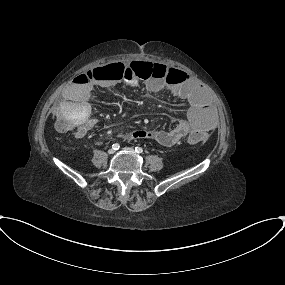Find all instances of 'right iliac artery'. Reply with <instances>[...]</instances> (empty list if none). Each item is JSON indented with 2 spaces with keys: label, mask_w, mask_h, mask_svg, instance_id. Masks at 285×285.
Returning a JSON list of instances; mask_svg holds the SVG:
<instances>
[{
  "label": "right iliac artery",
  "mask_w": 285,
  "mask_h": 285,
  "mask_svg": "<svg viewBox=\"0 0 285 285\" xmlns=\"http://www.w3.org/2000/svg\"><path fill=\"white\" fill-rule=\"evenodd\" d=\"M112 148L114 150H118L120 148V145L118 143H115V144L112 145Z\"/></svg>",
  "instance_id": "obj_1"
}]
</instances>
